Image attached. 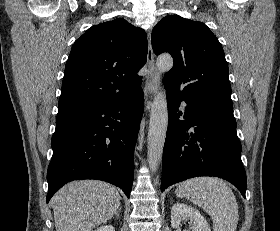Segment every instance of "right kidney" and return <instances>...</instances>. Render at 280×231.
Here are the masks:
<instances>
[{
  "label": "right kidney",
  "mask_w": 280,
  "mask_h": 231,
  "mask_svg": "<svg viewBox=\"0 0 280 231\" xmlns=\"http://www.w3.org/2000/svg\"><path fill=\"white\" fill-rule=\"evenodd\" d=\"M94 231H115V227H113V225H100V227H97Z\"/></svg>",
  "instance_id": "right-kidney-1"
}]
</instances>
